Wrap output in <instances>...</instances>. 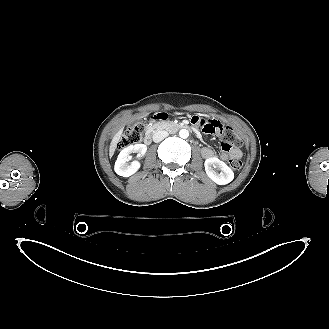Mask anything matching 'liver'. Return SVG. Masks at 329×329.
<instances>
[{
  "mask_svg": "<svg viewBox=\"0 0 329 329\" xmlns=\"http://www.w3.org/2000/svg\"><path fill=\"white\" fill-rule=\"evenodd\" d=\"M147 114H145L144 116H147ZM144 116H141L140 118L144 117ZM122 133H123V128H121L115 135L114 137L112 138V141L110 143V147H109V156L112 157L114 155V152L116 150V147H117V143L119 142V140L121 139V136H122Z\"/></svg>",
  "mask_w": 329,
  "mask_h": 329,
  "instance_id": "obj_1",
  "label": "liver"
}]
</instances>
